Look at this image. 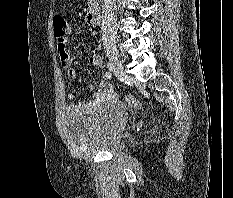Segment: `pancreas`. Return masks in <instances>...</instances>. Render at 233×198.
<instances>
[{
    "mask_svg": "<svg viewBox=\"0 0 233 198\" xmlns=\"http://www.w3.org/2000/svg\"><path fill=\"white\" fill-rule=\"evenodd\" d=\"M99 0H88V5L92 6V5H98Z\"/></svg>",
    "mask_w": 233,
    "mask_h": 198,
    "instance_id": "obj_1",
    "label": "pancreas"
}]
</instances>
